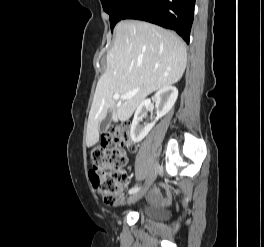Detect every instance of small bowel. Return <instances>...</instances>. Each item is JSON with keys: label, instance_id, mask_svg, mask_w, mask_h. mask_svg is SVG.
<instances>
[{"label": "small bowel", "instance_id": "c3829d8e", "mask_svg": "<svg viewBox=\"0 0 264 247\" xmlns=\"http://www.w3.org/2000/svg\"><path fill=\"white\" fill-rule=\"evenodd\" d=\"M171 198V193L167 190H163L160 188H154L150 194L148 195V200L150 202H169Z\"/></svg>", "mask_w": 264, "mask_h": 247}]
</instances>
